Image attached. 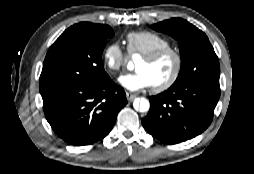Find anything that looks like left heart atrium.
<instances>
[{
	"label": "left heart atrium",
	"mask_w": 254,
	"mask_h": 174,
	"mask_svg": "<svg viewBox=\"0 0 254 174\" xmlns=\"http://www.w3.org/2000/svg\"><path fill=\"white\" fill-rule=\"evenodd\" d=\"M119 83L131 91H140L153 86V82L149 75L140 70H137L134 73L122 75L119 78Z\"/></svg>",
	"instance_id": "1"
}]
</instances>
